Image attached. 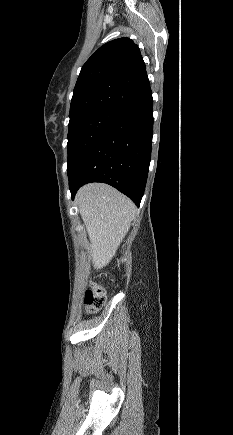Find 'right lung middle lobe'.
Masks as SVG:
<instances>
[{
  "instance_id": "obj_1",
  "label": "right lung middle lobe",
  "mask_w": 233,
  "mask_h": 435,
  "mask_svg": "<svg viewBox=\"0 0 233 435\" xmlns=\"http://www.w3.org/2000/svg\"><path fill=\"white\" fill-rule=\"evenodd\" d=\"M122 115L121 112L99 109L70 118L68 126V175L79 160Z\"/></svg>"
}]
</instances>
